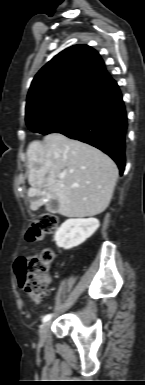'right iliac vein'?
Masks as SVG:
<instances>
[{"label":"right iliac vein","instance_id":"right-iliac-vein-1","mask_svg":"<svg viewBox=\"0 0 145 385\" xmlns=\"http://www.w3.org/2000/svg\"><path fill=\"white\" fill-rule=\"evenodd\" d=\"M50 322L44 323L40 328V338L44 340L47 336V333L49 331Z\"/></svg>","mask_w":145,"mask_h":385}]
</instances>
